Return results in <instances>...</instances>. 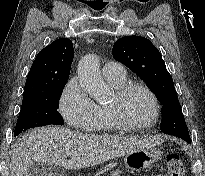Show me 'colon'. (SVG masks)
<instances>
[{
  "label": "colon",
  "mask_w": 205,
  "mask_h": 176,
  "mask_svg": "<svg viewBox=\"0 0 205 176\" xmlns=\"http://www.w3.org/2000/svg\"><path fill=\"white\" fill-rule=\"evenodd\" d=\"M169 176H185V167L179 154L171 153L166 158Z\"/></svg>",
  "instance_id": "obj_1"
}]
</instances>
